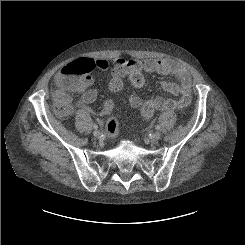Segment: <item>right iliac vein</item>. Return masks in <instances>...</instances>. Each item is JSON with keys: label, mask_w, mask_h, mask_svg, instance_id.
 I'll return each mask as SVG.
<instances>
[{"label": "right iliac vein", "mask_w": 245, "mask_h": 245, "mask_svg": "<svg viewBox=\"0 0 245 245\" xmlns=\"http://www.w3.org/2000/svg\"><path fill=\"white\" fill-rule=\"evenodd\" d=\"M93 135H94V137L99 138L101 134L98 130H94Z\"/></svg>", "instance_id": "1"}]
</instances>
